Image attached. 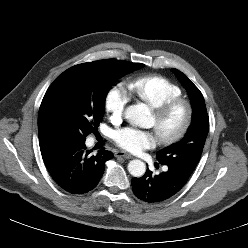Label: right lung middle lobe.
Returning <instances> with one entry per match:
<instances>
[{
	"label": "right lung middle lobe",
	"instance_id": "right-lung-middle-lobe-1",
	"mask_svg": "<svg viewBox=\"0 0 248 248\" xmlns=\"http://www.w3.org/2000/svg\"><path fill=\"white\" fill-rule=\"evenodd\" d=\"M143 66L105 59L67 69L45 93L38 114L39 134L85 142L103 118L110 86L117 78Z\"/></svg>",
	"mask_w": 248,
	"mask_h": 248
}]
</instances>
